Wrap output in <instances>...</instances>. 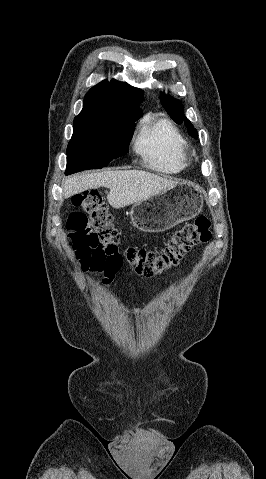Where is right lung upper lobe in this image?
I'll list each match as a JSON object with an SVG mask.
<instances>
[{
  "label": "right lung upper lobe",
  "instance_id": "obj_1",
  "mask_svg": "<svg viewBox=\"0 0 266 479\" xmlns=\"http://www.w3.org/2000/svg\"><path fill=\"white\" fill-rule=\"evenodd\" d=\"M144 93L125 82L104 80L86 94L83 109L75 119L97 118L134 121L142 116L137 106L143 101Z\"/></svg>",
  "mask_w": 266,
  "mask_h": 479
}]
</instances>
